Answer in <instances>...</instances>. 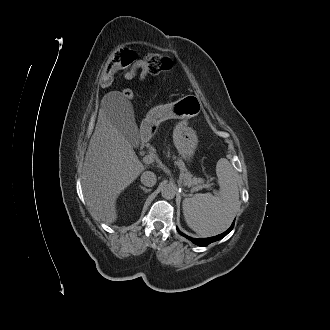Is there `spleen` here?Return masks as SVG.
Instances as JSON below:
<instances>
[{"instance_id":"3e777b00","label":"spleen","mask_w":330,"mask_h":330,"mask_svg":"<svg viewBox=\"0 0 330 330\" xmlns=\"http://www.w3.org/2000/svg\"><path fill=\"white\" fill-rule=\"evenodd\" d=\"M216 174L220 186L216 195L198 193L183 200L187 225L203 237L223 232L240 208L238 174L226 158L218 160Z\"/></svg>"}]
</instances>
